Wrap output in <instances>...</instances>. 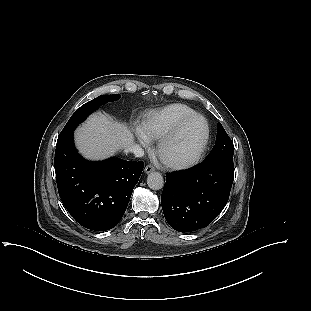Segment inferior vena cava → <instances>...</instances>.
<instances>
[{"label": "inferior vena cava", "instance_id": "obj_1", "mask_svg": "<svg viewBox=\"0 0 311 311\" xmlns=\"http://www.w3.org/2000/svg\"><path fill=\"white\" fill-rule=\"evenodd\" d=\"M124 152L126 154L133 153L134 156L137 158H141L144 156V150L140 146L134 143L127 145L124 149Z\"/></svg>", "mask_w": 311, "mask_h": 311}]
</instances>
